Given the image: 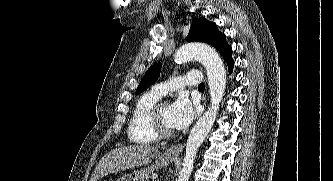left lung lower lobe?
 Wrapping results in <instances>:
<instances>
[{"mask_svg":"<svg viewBox=\"0 0 333 181\" xmlns=\"http://www.w3.org/2000/svg\"><path fill=\"white\" fill-rule=\"evenodd\" d=\"M223 58L225 59L227 65H228V68H229V72L231 73V70L233 68V60H232V57H231V48L228 49V51L223 55Z\"/></svg>","mask_w":333,"mask_h":181,"instance_id":"1","label":"left lung lower lobe"}]
</instances>
